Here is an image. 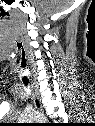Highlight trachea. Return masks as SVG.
<instances>
[{"label": "trachea", "instance_id": "obj_1", "mask_svg": "<svg viewBox=\"0 0 95 126\" xmlns=\"http://www.w3.org/2000/svg\"><path fill=\"white\" fill-rule=\"evenodd\" d=\"M21 65H22L23 68L26 67V60H25L24 56H23V58H22ZM23 82H24V84L27 86L28 83H29V80H28L27 78L24 77V78H23Z\"/></svg>", "mask_w": 95, "mask_h": 126}]
</instances>
